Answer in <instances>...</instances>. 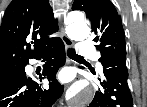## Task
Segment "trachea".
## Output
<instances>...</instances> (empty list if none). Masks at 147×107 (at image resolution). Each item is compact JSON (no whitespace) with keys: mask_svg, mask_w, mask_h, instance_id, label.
Returning <instances> with one entry per match:
<instances>
[{"mask_svg":"<svg viewBox=\"0 0 147 107\" xmlns=\"http://www.w3.org/2000/svg\"><path fill=\"white\" fill-rule=\"evenodd\" d=\"M67 55H68V57H70L72 59H84V57L76 54V52L74 50H68Z\"/></svg>","mask_w":147,"mask_h":107,"instance_id":"trachea-1","label":"trachea"}]
</instances>
